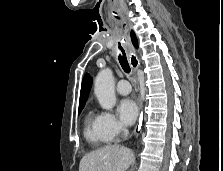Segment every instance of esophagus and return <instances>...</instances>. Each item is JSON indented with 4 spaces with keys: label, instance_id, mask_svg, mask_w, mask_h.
I'll return each instance as SVG.
<instances>
[{
    "label": "esophagus",
    "instance_id": "esophagus-1",
    "mask_svg": "<svg viewBox=\"0 0 223 171\" xmlns=\"http://www.w3.org/2000/svg\"><path fill=\"white\" fill-rule=\"evenodd\" d=\"M133 56H130V64H131V67L132 69L134 70V72L137 71L138 67H139V62L135 59L133 60ZM138 106H139V110H140V117H139V122H138V126H137V132L140 131L141 129V125H142V107H143V102H142V99L139 98L138 100Z\"/></svg>",
    "mask_w": 223,
    "mask_h": 171
}]
</instances>
